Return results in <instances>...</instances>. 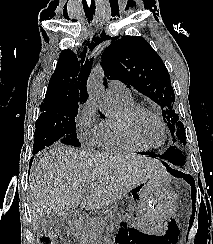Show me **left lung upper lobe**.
<instances>
[{"label": "left lung upper lobe", "instance_id": "left-lung-upper-lobe-1", "mask_svg": "<svg viewBox=\"0 0 213 244\" xmlns=\"http://www.w3.org/2000/svg\"><path fill=\"white\" fill-rule=\"evenodd\" d=\"M101 65L108 79H118L158 104L162 109L163 120L171 131L173 142L179 140L186 144L184 125L174 109L175 94L168 70L144 38H114L102 54ZM169 149L173 152L174 164L183 167L186 157L176 147Z\"/></svg>", "mask_w": 213, "mask_h": 244}]
</instances>
